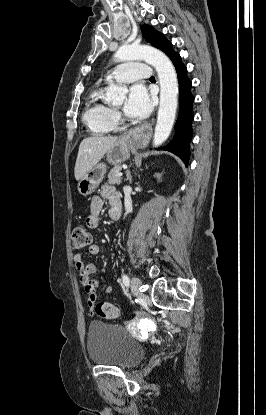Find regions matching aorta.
<instances>
[{
    "mask_svg": "<svg viewBox=\"0 0 266 415\" xmlns=\"http://www.w3.org/2000/svg\"><path fill=\"white\" fill-rule=\"evenodd\" d=\"M114 56L118 61L144 60L155 67L160 81V105L153 145H161L171 133L178 105V81L172 62L161 51L145 45H122ZM126 93V87L110 84L106 100L112 103L122 101Z\"/></svg>",
    "mask_w": 266,
    "mask_h": 415,
    "instance_id": "obj_1",
    "label": "aorta"
}]
</instances>
